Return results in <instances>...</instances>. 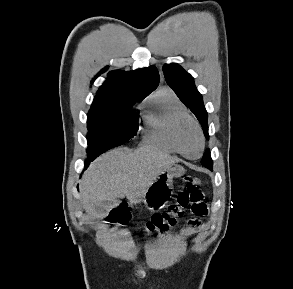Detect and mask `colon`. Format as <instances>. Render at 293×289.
Segmentation results:
<instances>
[{
	"mask_svg": "<svg viewBox=\"0 0 293 289\" xmlns=\"http://www.w3.org/2000/svg\"><path fill=\"white\" fill-rule=\"evenodd\" d=\"M200 182L193 177L184 178V189L175 194L167 210L153 215L143 226L146 232H166L175 225L176 219L186 212L203 217L208 214V206L199 187ZM128 215L123 206H119L108 217L110 222L123 223Z\"/></svg>",
	"mask_w": 293,
	"mask_h": 289,
	"instance_id": "5ec220e1",
	"label": "colon"
}]
</instances>
